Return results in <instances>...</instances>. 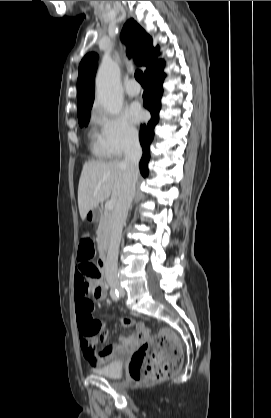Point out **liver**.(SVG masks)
<instances>
[{
	"label": "liver",
	"mask_w": 271,
	"mask_h": 418,
	"mask_svg": "<svg viewBox=\"0 0 271 418\" xmlns=\"http://www.w3.org/2000/svg\"><path fill=\"white\" fill-rule=\"evenodd\" d=\"M126 168L122 161H88L83 165L78 186L80 217L111 197L117 200L124 186Z\"/></svg>",
	"instance_id": "6515ba94"
}]
</instances>
